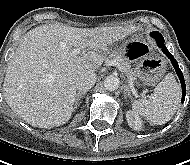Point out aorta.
<instances>
[{
	"label": "aorta",
	"mask_w": 190,
	"mask_h": 165,
	"mask_svg": "<svg viewBox=\"0 0 190 165\" xmlns=\"http://www.w3.org/2000/svg\"><path fill=\"white\" fill-rule=\"evenodd\" d=\"M120 86V79L115 75H109L104 80V87L108 91H115Z\"/></svg>",
	"instance_id": "762f6f07"
}]
</instances>
